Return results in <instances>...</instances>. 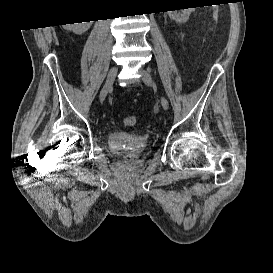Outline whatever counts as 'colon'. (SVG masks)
I'll list each match as a JSON object with an SVG mask.
<instances>
[{
  "label": "colon",
  "instance_id": "colon-1",
  "mask_svg": "<svg viewBox=\"0 0 273 273\" xmlns=\"http://www.w3.org/2000/svg\"><path fill=\"white\" fill-rule=\"evenodd\" d=\"M137 123V119L134 115H129L124 119V124L126 126L132 127L135 126Z\"/></svg>",
  "mask_w": 273,
  "mask_h": 273
}]
</instances>
